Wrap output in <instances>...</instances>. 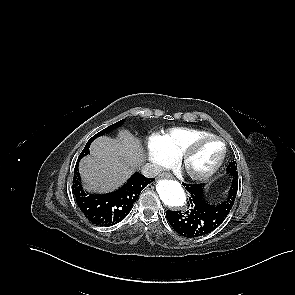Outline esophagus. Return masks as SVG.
Masks as SVG:
<instances>
[{
	"mask_svg": "<svg viewBox=\"0 0 295 295\" xmlns=\"http://www.w3.org/2000/svg\"><path fill=\"white\" fill-rule=\"evenodd\" d=\"M160 177H161V178H172V175L169 174V173H162V174L160 175Z\"/></svg>",
	"mask_w": 295,
	"mask_h": 295,
	"instance_id": "34e87169",
	"label": "esophagus"
}]
</instances>
